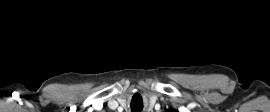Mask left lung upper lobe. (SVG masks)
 Instances as JSON below:
<instances>
[{
  "instance_id": "left-lung-upper-lobe-1",
  "label": "left lung upper lobe",
  "mask_w": 270,
  "mask_h": 112,
  "mask_svg": "<svg viewBox=\"0 0 270 112\" xmlns=\"http://www.w3.org/2000/svg\"><path fill=\"white\" fill-rule=\"evenodd\" d=\"M167 112H178V111H175V110H168Z\"/></svg>"
}]
</instances>
